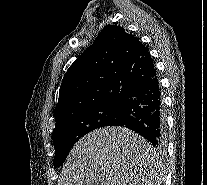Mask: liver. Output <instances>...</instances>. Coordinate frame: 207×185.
<instances>
[{"mask_svg": "<svg viewBox=\"0 0 207 185\" xmlns=\"http://www.w3.org/2000/svg\"><path fill=\"white\" fill-rule=\"evenodd\" d=\"M155 149L126 127H100L72 147L62 185H152ZM157 183V181H155Z\"/></svg>", "mask_w": 207, "mask_h": 185, "instance_id": "obj_1", "label": "liver"}]
</instances>
